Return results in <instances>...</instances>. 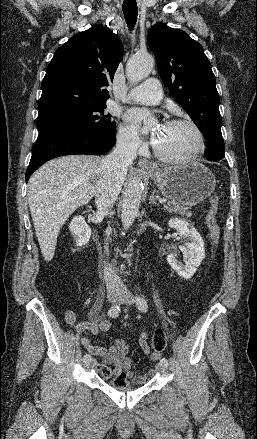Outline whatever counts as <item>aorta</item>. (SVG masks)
Instances as JSON below:
<instances>
[{
    "mask_svg": "<svg viewBox=\"0 0 257 439\" xmlns=\"http://www.w3.org/2000/svg\"><path fill=\"white\" fill-rule=\"evenodd\" d=\"M154 67V60L150 55H134L126 66V75L133 83H138L148 77ZM143 183L138 176H134L125 191L121 221L124 229H128L139 213L142 198Z\"/></svg>",
    "mask_w": 257,
    "mask_h": 439,
    "instance_id": "1",
    "label": "aorta"
}]
</instances>
